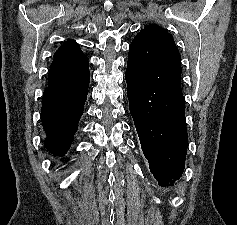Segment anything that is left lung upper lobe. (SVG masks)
Instances as JSON below:
<instances>
[{"label":"left lung upper lobe","instance_id":"left-lung-upper-lobe-1","mask_svg":"<svg viewBox=\"0 0 237 225\" xmlns=\"http://www.w3.org/2000/svg\"><path fill=\"white\" fill-rule=\"evenodd\" d=\"M127 71L154 87L180 88L181 59L173 37L158 25L145 26L129 47Z\"/></svg>","mask_w":237,"mask_h":225}]
</instances>
